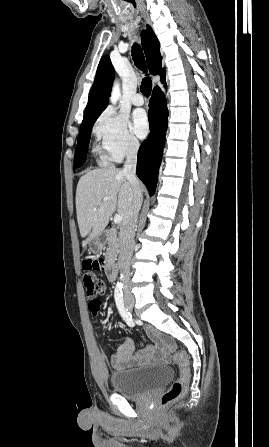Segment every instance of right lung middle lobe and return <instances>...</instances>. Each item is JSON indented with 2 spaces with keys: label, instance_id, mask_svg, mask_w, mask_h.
<instances>
[{
  "label": "right lung middle lobe",
  "instance_id": "dd1d6c3e",
  "mask_svg": "<svg viewBox=\"0 0 269 447\" xmlns=\"http://www.w3.org/2000/svg\"><path fill=\"white\" fill-rule=\"evenodd\" d=\"M93 124H94V122L84 125L80 129L77 147H76V153H75V166L76 167H80L86 161V158H87L86 150L88 148Z\"/></svg>",
  "mask_w": 269,
  "mask_h": 447
}]
</instances>
